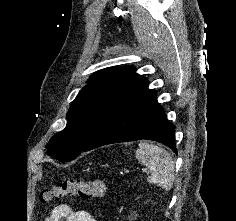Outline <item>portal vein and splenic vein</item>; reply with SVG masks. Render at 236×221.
I'll return each mask as SVG.
<instances>
[{
    "instance_id": "18ae733b",
    "label": "portal vein and splenic vein",
    "mask_w": 236,
    "mask_h": 221,
    "mask_svg": "<svg viewBox=\"0 0 236 221\" xmlns=\"http://www.w3.org/2000/svg\"><path fill=\"white\" fill-rule=\"evenodd\" d=\"M142 172H147V169L146 168H142Z\"/></svg>"
}]
</instances>
